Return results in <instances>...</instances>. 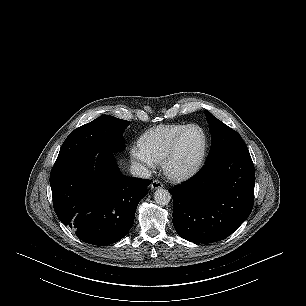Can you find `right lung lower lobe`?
Instances as JSON below:
<instances>
[{"label":"right lung lower lobe","instance_id":"right-lung-lower-lobe-1","mask_svg":"<svg viewBox=\"0 0 306 306\" xmlns=\"http://www.w3.org/2000/svg\"><path fill=\"white\" fill-rule=\"evenodd\" d=\"M149 184L150 180L122 175L108 152L72 156L55 164L50 173L59 220L79 239L97 246L126 236Z\"/></svg>","mask_w":306,"mask_h":306}]
</instances>
